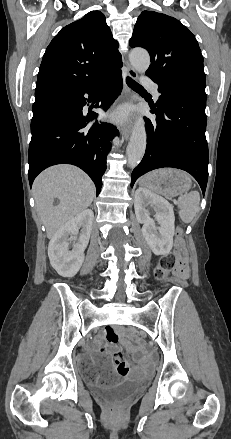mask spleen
Returning a JSON list of instances; mask_svg holds the SVG:
<instances>
[{"instance_id":"1","label":"spleen","mask_w":231,"mask_h":439,"mask_svg":"<svg viewBox=\"0 0 231 439\" xmlns=\"http://www.w3.org/2000/svg\"><path fill=\"white\" fill-rule=\"evenodd\" d=\"M200 195L191 191L178 198L179 216L185 223H190L199 211Z\"/></svg>"}]
</instances>
